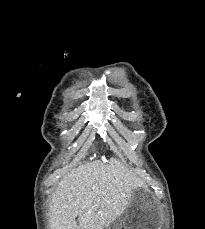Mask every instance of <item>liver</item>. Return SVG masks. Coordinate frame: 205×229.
<instances>
[{
    "instance_id": "1",
    "label": "liver",
    "mask_w": 205,
    "mask_h": 229,
    "mask_svg": "<svg viewBox=\"0 0 205 229\" xmlns=\"http://www.w3.org/2000/svg\"><path fill=\"white\" fill-rule=\"evenodd\" d=\"M136 182L114 158L81 164L60 180L52 196L51 229H106L128 205Z\"/></svg>"
}]
</instances>
